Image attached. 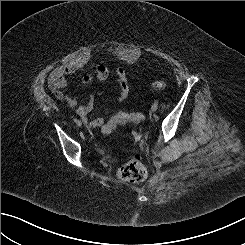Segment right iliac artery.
Masks as SVG:
<instances>
[{
	"label": "right iliac artery",
	"instance_id": "82829eb1",
	"mask_svg": "<svg viewBox=\"0 0 245 245\" xmlns=\"http://www.w3.org/2000/svg\"><path fill=\"white\" fill-rule=\"evenodd\" d=\"M74 122H75V123H78V122H79V120H78L77 118H75V119H74Z\"/></svg>",
	"mask_w": 245,
	"mask_h": 245
}]
</instances>
